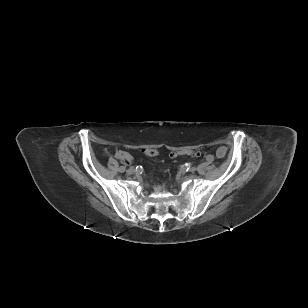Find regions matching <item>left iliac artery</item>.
I'll use <instances>...</instances> for the list:
<instances>
[{
	"label": "left iliac artery",
	"instance_id": "1",
	"mask_svg": "<svg viewBox=\"0 0 308 308\" xmlns=\"http://www.w3.org/2000/svg\"><path fill=\"white\" fill-rule=\"evenodd\" d=\"M214 160L213 156H207V162H212Z\"/></svg>",
	"mask_w": 308,
	"mask_h": 308
}]
</instances>
